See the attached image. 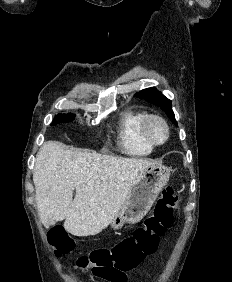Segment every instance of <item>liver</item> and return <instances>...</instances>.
<instances>
[{"label":"liver","instance_id":"obj_1","mask_svg":"<svg viewBox=\"0 0 232 282\" xmlns=\"http://www.w3.org/2000/svg\"><path fill=\"white\" fill-rule=\"evenodd\" d=\"M154 164L46 142L36 156L33 173L42 223L47 228L51 221L65 220V230L78 237L100 233L122 207L138 175Z\"/></svg>","mask_w":232,"mask_h":282}]
</instances>
